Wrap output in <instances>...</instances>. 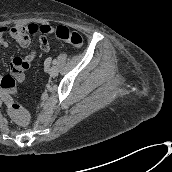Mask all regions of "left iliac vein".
<instances>
[{
	"label": "left iliac vein",
	"instance_id": "left-iliac-vein-1",
	"mask_svg": "<svg viewBox=\"0 0 172 172\" xmlns=\"http://www.w3.org/2000/svg\"><path fill=\"white\" fill-rule=\"evenodd\" d=\"M45 69L48 71L51 77H56L58 75V69L55 66H46Z\"/></svg>",
	"mask_w": 172,
	"mask_h": 172
}]
</instances>
